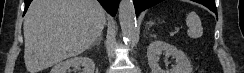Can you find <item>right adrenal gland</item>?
Here are the masks:
<instances>
[{
  "label": "right adrenal gland",
  "instance_id": "2a0ac1e0",
  "mask_svg": "<svg viewBox=\"0 0 244 73\" xmlns=\"http://www.w3.org/2000/svg\"><path fill=\"white\" fill-rule=\"evenodd\" d=\"M103 37L102 35H100L97 40L91 45V47L89 49H91L92 47H94L95 45L99 46L101 41H102Z\"/></svg>",
  "mask_w": 244,
  "mask_h": 73
}]
</instances>
